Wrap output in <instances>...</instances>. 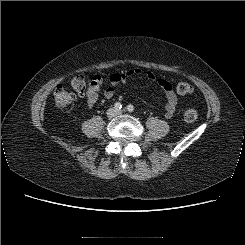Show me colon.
I'll list each match as a JSON object with an SVG mask.
<instances>
[{
    "label": "colon",
    "mask_w": 245,
    "mask_h": 245,
    "mask_svg": "<svg viewBox=\"0 0 245 245\" xmlns=\"http://www.w3.org/2000/svg\"><path fill=\"white\" fill-rule=\"evenodd\" d=\"M69 88L59 86L54 91V101L58 107H66L70 105L78 94L85 91L87 81L83 75H75L68 83ZM177 94L181 96L188 95L192 92V86L185 81L179 82L176 86ZM184 118L188 122H194L198 118V113L193 108H188L184 112Z\"/></svg>",
    "instance_id": "obj_1"
}]
</instances>
